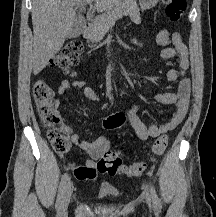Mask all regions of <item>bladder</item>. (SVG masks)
<instances>
[{"instance_id": "31cf9c89", "label": "bladder", "mask_w": 216, "mask_h": 217, "mask_svg": "<svg viewBox=\"0 0 216 217\" xmlns=\"http://www.w3.org/2000/svg\"><path fill=\"white\" fill-rule=\"evenodd\" d=\"M117 195L118 193L111 189L102 188L98 191V196L101 198H113L116 197Z\"/></svg>"}]
</instances>
